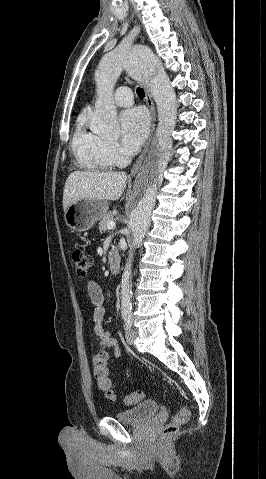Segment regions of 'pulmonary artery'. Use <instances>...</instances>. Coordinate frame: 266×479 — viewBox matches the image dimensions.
<instances>
[{
	"label": "pulmonary artery",
	"mask_w": 266,
	"mask_h": 479,
	"mask_svg": "<svg viewBox=\"0 0 266 479\" xmlns=\"http://www.w3.org/2000/svg\"><path fill=\"white\" fill-rule=\"evenodd\" d=\"M114 102L121 107H127L133 103V94L132 90L127 87H119L114 95Z\"/></svg>",
	"instance_id": "1"
}]
</instances>
